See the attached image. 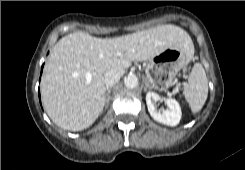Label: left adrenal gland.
I'll return each instance as SVG.
<instances>
[{"label": "left adrenal gland", "instance_id": "left-adrenal-gland-1", "mask_svg": "<svg viewBox=\"0 0 245 170\" xmlns=\"http://www.w3.org/2000/svg\"><path fill=\"white\" fill-rule=\"evenodd\" d=\"M144 83H145L144 91L146 92L148 88L149 89L151 88V86L147 83L146 79H144Z\"/></svg>", "mask_w": 245, "mask_h": 170}]
</instances>
